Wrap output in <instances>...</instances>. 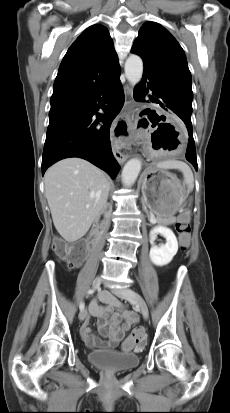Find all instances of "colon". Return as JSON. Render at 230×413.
Listing matches in <instances>:
<instances>
[{
    "label": "colon",
    "instance_id": "5ec220e1",
    "mask_svg": "<svg viewBox=\"0 0 230 413\" xmlns=\"http://www.w3.org/2000/svg\"><path fill=\"white\" fill-rule=\"evenodd\" d=\"M177 243L181 244L182 248H189L191 242L189 240L190 227L187 218L182 216L176 224ZM54 253L61 258L67 267L72 268L81 261L86 252V245L83 242L69 244L63 240H56L52 245ZM145 339L144 330L142 327H136L130 334L128 340L132 345L141 347Z\"/></svg>",
    "mask_w": 230,
    "mask_h": 413
}]
</instances>
